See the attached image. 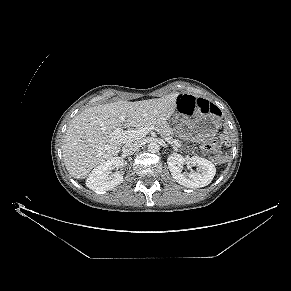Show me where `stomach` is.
I'll use <instances>...</instances> for the list:
<instances>
[{
  "mask_svg": "<svg viewBox=\"0 0 291 291\" xmlns=\"http://www.w3.org/2000/svg\"><path fill=\"white\" fill-rule=\"evenodd\" d=\"M172 124L185 138L202 141L214 136L220 125V118L211 113L200 114L192 118L175 114Z\"/></svg>",
  "mask_w": 291,
  "mask_h": 291,
  "instance_id": "stomach-1",
  "label": "stomach"
}]
</instances>
